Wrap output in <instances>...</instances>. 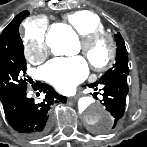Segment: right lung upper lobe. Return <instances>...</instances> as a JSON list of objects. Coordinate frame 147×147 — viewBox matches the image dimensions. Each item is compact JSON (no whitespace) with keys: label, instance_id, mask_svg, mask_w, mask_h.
<instances>
[{"label":"right lung upper lobe","instance_id":"1","mask_svg":"<svg viewBox=\"0 0 147 147\" xmlns=\"http://www.w3.org/2000/svg\"><path fill=\"white\" fill-rule=\"evenodd\" d=\"M14 22H15V19H13V21H11V23L3 30V32H2V34L0 36V40L4 36V34H5L6 30L8 29V27H10V25H12Z\"/></svg>","mask_w":147,"mask_h":147}]
</instances>
